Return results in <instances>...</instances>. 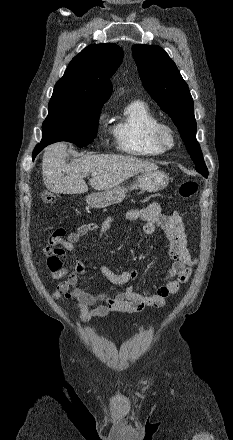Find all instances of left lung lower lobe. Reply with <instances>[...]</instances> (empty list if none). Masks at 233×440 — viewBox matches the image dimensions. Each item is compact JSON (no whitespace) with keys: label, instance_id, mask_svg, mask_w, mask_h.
Masks as SVG:
<instances>
[{"label":"left lung lower lobe","instance_id":"0a47b994","mask_svg":"<svg viewBox=\"0 0 233 440\" xmlns=\"http://www.w3.org/2000/svg\"><path fill=\"white\" fill-rule=\"evenodd\" d=\"M197 171L200 172L204 177H207V176H208V170H207L206 167H204V168H199Z\"/></svg>","mask_w":233,"mask_h":440}]
</instances>
